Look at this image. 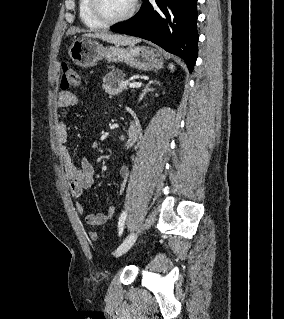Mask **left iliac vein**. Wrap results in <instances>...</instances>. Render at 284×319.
I'll return each instance as SVG.
<instances>
[{
    "mask_svg": "<svg viewBox=\"0 0 284 319\" xmlns=\"http://www.w3.org/2000/svg\"><path fill=\"white\" fill-rule=\"evenodd\" d=\"M136 239H137L136 233L133 232L130 235H128L115 251V256L118 257L126 253L134 245V243L136 242Z\"/></svg>",
    "mask_w": 284,
    "mask_h": 319,
    "instance_id": "left-iliac-vein-1",
    "label": "left iliac vein"
}]
</instances>
